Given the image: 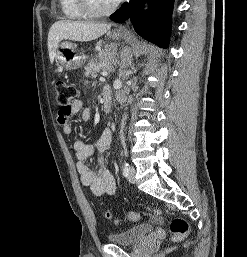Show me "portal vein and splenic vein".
<instances>
[{
    "label": "portal vein and splenic vein",
    "mask_w": 247,
    "mask_h": 257,
    "mask_svg": "<svg viewBox=\"0 0 247 257\" xmlns=\"http://www.w3.org/2000/svg\"><path fill=\"white\" fill-rule=\"evenodd\" d=\"M108 73L107 72H102V76H107Z\"/></svg>",
    "instance_id": "1"
}]
</instances>
